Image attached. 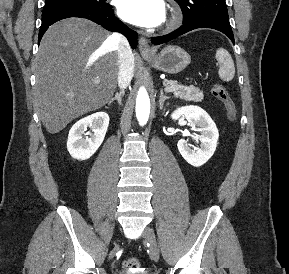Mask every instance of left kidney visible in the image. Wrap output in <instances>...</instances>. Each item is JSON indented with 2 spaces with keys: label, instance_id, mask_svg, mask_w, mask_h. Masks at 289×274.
Here are the masks:
<instances>
[{
  "label": "left kidney",
  "instance_id": "left-kidney-1",
  "mask_svg": "<svg viewBox=\"0 0 289 274\" xmlns=\"http://www.w3.org/2000/svg\"><path fill=\"white\" fill-rule=\"evenodd\" d=\"M181 116L195 131L200 132V148H192L184 139L178 141V150L182 157L192 166L200 167L214 154L219 138L218 129L211 117L198 106H184L176 109L171 118L178 120Z\"/></svg>",
  "mask_w": 289,
  "mask_h": 274
}]
</instances>
